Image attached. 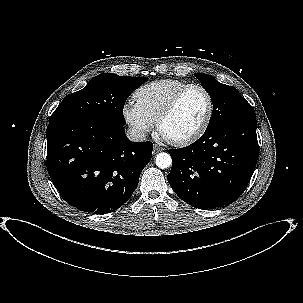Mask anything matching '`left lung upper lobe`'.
<instances>
[{
    "mask_svg": "<svg viewBox=\"0 0 303 303\" xmlns=\"http://www.w3.org/2000/svg\"><path fill=\"white\" fill-rule=\"evenodd\" d=\"M194 76L210 94L213 102V113L206 130L239 120L255 118L253 107L234 87L222 84L212 76L203 73H195Z\"/></svg>",
    "mask_w": 303,
    "mask_h": 303,
    "instance_id": "left-lung-upper-lobe-1",
    "label": "left lung upper lobe"
}]
</instances>
